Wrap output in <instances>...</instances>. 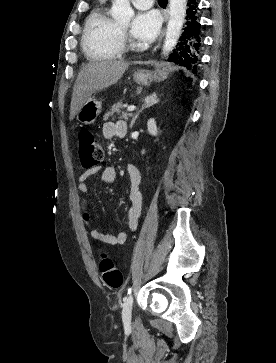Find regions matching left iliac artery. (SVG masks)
I'll return each instance as SVG.
<instances>
[{"label": "left iliac artery", "instance_id": "obj_1", "mask_svg": "<svg viewBox=\"0 0 276 363\" xmlns=\"http://www.w3.org/2000/svg\"><path fill=\"white\" fill-rule=\"evenodd\" d=\"M130 293H131V288L128 289V294H130Z\"/></svg>", "mask_w": 276, "mask_h": 363}]
</instances>
